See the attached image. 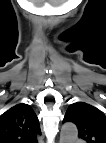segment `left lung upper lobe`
<instances>
[{
    "mask_svg": "<svg viewBox=\"0 0 106 143\" xmlns=\"http://www.w3.org/2000/svg\"><path fill=\"white\" fill-rule=\"evenodd\" d=\"M63 122H73L78 128L79 138L87 143H106V115L90 104H71Z\"/></svg>",
    "mask_w": 106,
    "mask_h": 143,
    "instance_id": "obj_1",
    "label": "left lung upper lobe"
}]
</instances>
